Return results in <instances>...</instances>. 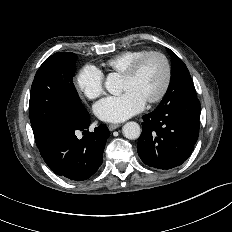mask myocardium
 Returning <instances> with one entry per match:
<instances>
[{
    "mask_svg": "<svg viewBox=\"0 0 232 232\" xmlns=\"http://www.w3.org/2000/svg\"><path fill=\"white\" fill-rule=\"evenodd\" d=\"M150 57L159 58L162 61L163 66H164V81H163V85H162L160 91L155 96L146 100L147 103L153 104V103H157V102L161 101L165 97V95L170 87L171 80H172L171 64H170L169 59L167 58V56L165 54H163L162 52H159V51H147V52H145L144 54L139 56L137 59H135L130 64V66L123 73V77H126V78L134 77L138 73L142 64Z\"/></svg>",
    "mask_w": 232,
    "mask_h": 232,
    "instance_id": "1",
    "label": "myocardium"
}]
</instances>
